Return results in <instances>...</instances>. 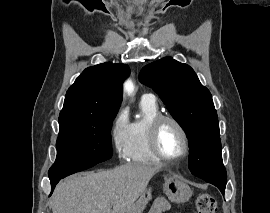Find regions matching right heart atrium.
<instances>
[{"label": "right heart atrium", "mask_w": 270, "mask_h": 213, "mask_svg": "<svg viewBox=\"0 0 270 213\" xmlns=\"http://www.w3.org/2000/svg\"><path fill=\"white\" fill-rule=\"evenodd\" d=\"M129 121L125 110H120L112 123L110 129V140L117 156L125 158L126 147L128 143Z\"/></svg>", "instance_id": "right-heart-atrium-1"}]
</instances>
